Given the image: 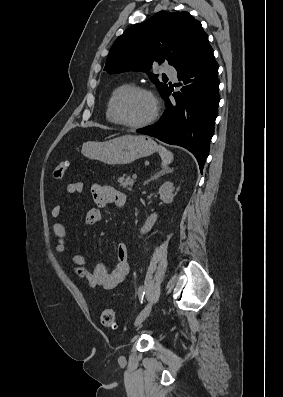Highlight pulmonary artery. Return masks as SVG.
<instances>
[{"instance_id": "obj_1", "label": "pulmonary artery", "mask_w": 283, "mask_h": 397, "mask_svg": "<svg viewBox=\"0 0 283 397\" xmlns=\"http://www.w3.org/2000/svg\"><path fill=\"white\" fill-rule=\"evenodd\" d=\"M165 72L169 75V76H171L172 78H175L176 77V70L174 69V68H172V67H167L166 68V70H165Z\"/></svg>"}]
</instances>
